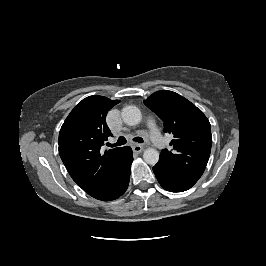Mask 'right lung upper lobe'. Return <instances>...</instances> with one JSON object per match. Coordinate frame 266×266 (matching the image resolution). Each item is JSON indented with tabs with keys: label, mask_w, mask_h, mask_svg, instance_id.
Listing matches in <instances>:
<instances>
[{
	"label": "right lung upper lobe",
	"mask_w": 266,
	"mask_h": 266,
	"mask_svg": "<svg viewBox=\"0 0 266 266\" xmlns=\"http://www.w3.org/2000/svg\"><path fill=\"white\" fill-rule=\"evenodd\" d=\"M119 103L99 95L78 103L63 123L59 133V154L76 184L97 198L109 187L126 150L101 146L112 136L107 124L108 110Z\"/></svg>",
	"instance_id": "cb5924a9"
}]
</instances>
